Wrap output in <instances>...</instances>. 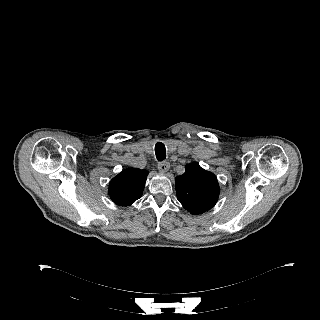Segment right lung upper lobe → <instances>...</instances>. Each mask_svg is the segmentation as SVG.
<instances>
[{"mask_svg": "<svg viewBox=\"0 0 320 320\" xmlns=\"http://www.w3.org/2000/svg\"><path fill=\"white\" fill-rule=\"evenodd\" d=\"M148 171L127 168L115 176L109 184L108 194L119 206H130L143 193Z\"/></svg>", "mask_w": 320, "mask_h": 320, "instance_id": "1", "label": "right lung upper lobe"}]
</instances>
